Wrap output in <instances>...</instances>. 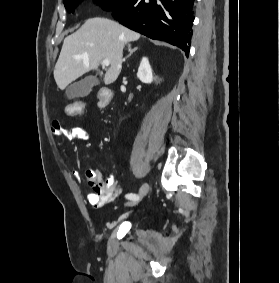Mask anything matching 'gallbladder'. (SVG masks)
<instances>
[{"label": "gallbladder", "mask_w": 280, "mask_h": 283, "mask_svg": "<svg viewBox=\"0 0 280 283\" xmlns=\"http://www.w3.org/2000/svg\"><path fill=\"white\" fill-rule=\"evenodd\" d=\"M99 85V80L95 76H87L84 79L72 83L66 89L68 99L87 96L94 86Z\"/></svg>", "instance_id": "gallbladder-1"}]
</instances>
